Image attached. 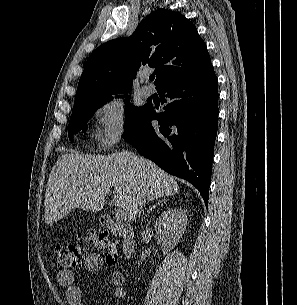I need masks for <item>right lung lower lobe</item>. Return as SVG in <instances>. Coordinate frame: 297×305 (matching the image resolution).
<instances>
[{
  "label": "right lung lower lobe",
  "instance_id": "right-lung-lower-lobe-1",
  "mask_svg": "<svg viewBox=\"0 0 297 305\" xmlns=\"http://www.w3.org/2000/svg\"><path fill=\"white\" fill-rule=\"evenodd\" d=\"M157 91L164 111L156 112L148 105L123 138L163 170L192 183L208 206L218 118L213 66Z\"/></svg>",
  "mask_w": 297,
  "mask_h": 305
}]
</instances>
